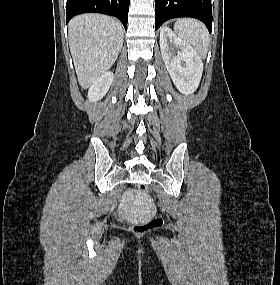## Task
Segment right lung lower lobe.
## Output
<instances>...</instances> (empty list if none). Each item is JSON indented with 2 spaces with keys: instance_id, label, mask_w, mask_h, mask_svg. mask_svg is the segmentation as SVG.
<instances>
[{
  "instance_id": "1",
  "label": "right lung lower lobe",
  "mask_w": 280,
  "mask_h": 285,
  "mask_svg": "<svg viewBox=\"0 0 280 285\" xmlns=\"http://www.w3.org/2000/svg\"><path fill=\"white\" fill-rule=\"evenodd\" d=\"M130 0H67L66 23L75 15L97 12L117 17L127 30Z\"/></svg>"
}]
</instances>
